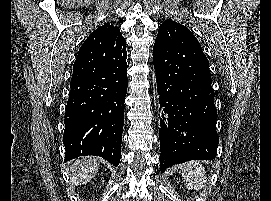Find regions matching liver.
<instances>
[{
    "label": "liver",
    "mask_w": 271,
    "mask_h": 201,
    "mask_svg": "<svg viewBox=\"0 0 271 201\" xmlns=\"http://www.w3.org/2000/svg\"><path fill=\"white\" fill-rule=\"evenodd\" d=\"M99 163L100 159L94 157L76 159L71 166L75 184H86L90 182L98 171Z\"/></svg>",
    "instance_id": "1"
}]
</instances>
